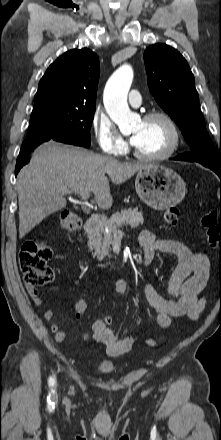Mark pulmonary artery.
I'll return each mask as SVG.
<instances>
[{"instance_id":"1","label":"pulmonary artery","mask_w":221,"mask_h":440,"mask_svg":"<svg viewBox=\"0 0 221 440\" xmlns=\"http://www.w3.org/2000/svg\"><path fill=\"white\" fill-rule=\"evenodd\" d=\"M128 101L134 107L139 106L142 102V98H141L139 91L131 90L128 95Z\"/></svg>"}]
</instances>
